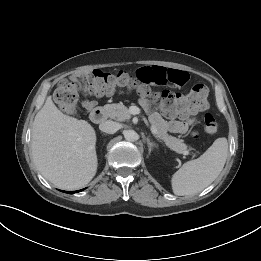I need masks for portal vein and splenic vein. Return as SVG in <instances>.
I'll return each instance as SVG.
<instances>
[{
    "label": "portal vein and splenic vein",
    "mask_w": 261,
    "mask_h": 261,
    "mask_svg": "<svg viewBox=\"0 0 261 261\" xmlns=\"http://www.w3.org/2000/svg\"><path fill=\"white\" fill-rule=\"evenodd\" d=\"M150 130L154 136L158 137L157 129L153 125L150 127ZM185 154H188V152H185Z\"/></svg>",
    "instance_id": "1"
}]
</instances>
